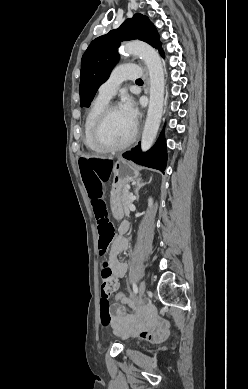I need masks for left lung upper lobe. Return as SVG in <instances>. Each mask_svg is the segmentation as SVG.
I'll return each mask as SVG.
<instances>
[{"mask_svg":"<svg viewBox=\"0 0 248 389\" xmlns=\"http://www.w3.org/2000/svg\"><path fill=\"white\" fill-rule=\"evenodd\" d=\"M139 39L162 50L159 34L147 16L135 14L122 25L94 39L81 60L80 105L89 107L99 86L104 83L119 60L117 48L124 40Z\"/></svg>","mask_w":248,"mask_h":389,"instance_id":"1","label":"left lung upper lobe"}]
</instances>
